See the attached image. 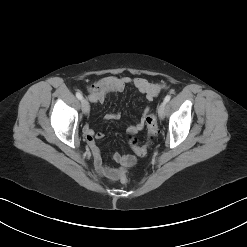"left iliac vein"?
Returning a JSON list of instances; mask_svg holds the SVG:
<instances>
[{
  "instance_id": "1",
  "label": "left iliac vein",
  "mask_w": 247,
  "mask_h": 247,
  "mask_svg": "<svg viewBox=\"0 0 247 247\" xmlns=\"http://www.w3.org/2000/svg\"><path fill=\"white\" fill-rule=\"evenodd\" d=\"M166 112V103L162 102L158 107V115L161 119L164 118Z\"/></svg>"
}]
</instances>
